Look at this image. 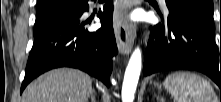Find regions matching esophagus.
Segmentation results:
<instances>
[{
    "label": "esophagus",
    "mask_w": 221,
    "mask_h": 102,
    "mask_svg": "<svg viewBox=\"0 0 221 102\" xmlns=\"http://www.w3.org/2000/svg\"><path fill=\"white\" fill-rule=\"evenodd\" d=\"M132 3L129 0H118L114 12V32L120 53L127 55L131 52L135 39V26L124 18V11Z\"/></svg>",
    "instance_id": "esophagus-1"
}]
</instances>
